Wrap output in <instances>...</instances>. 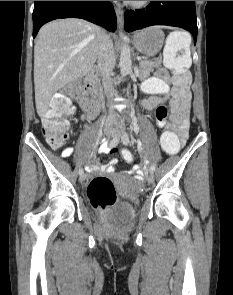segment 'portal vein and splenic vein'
Returning a JSON list of instances; mask_svg holds the SVG:
<instances>
[{
    "mask_svg": "<svg viewBox=\"0 0 233 295\" xmlns=\"http://www.w3.org/2000/svg\"><path fill=\"white\" fill-rule=\"evenodd\" d=\"M83 60V58H81ZM138 60H141L139 57H137Z\"/></svg>",
    "mask_w": 233,
    "mask_h": 295,
    "instance_id": "obj_1",
    "label": "portal vein and splenic vein"
}]
</instances>
